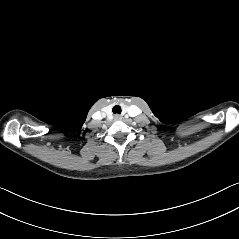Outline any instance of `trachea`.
Masks as SVG:
<instances>
[{
  "label": "trachea",
  "instance_id": "obj_1",
  "mask_svg": "<svg viewBox=\"0 0 239 239\" xmlns=\"http://www.w3.org/2000/svg\"><path fill=\"white\" fill-rule=\"evenodd\" d=\"M114 114H120L121 113V107L119 105H116L112 109Z\"/></svg>",
  "mask_w": 239,
  "mask_h": 239
}]
</instances>
